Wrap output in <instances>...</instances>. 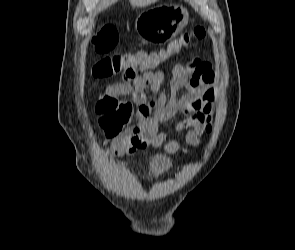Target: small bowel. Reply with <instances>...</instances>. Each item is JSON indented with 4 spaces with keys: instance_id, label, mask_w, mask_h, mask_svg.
Returning <instances> with one entry per match:
<instances>
[{
    "instance_id": "small-bowel-1",
    "label": "small bowel",
    "mask_w": 295,
    "mask_h": 250,
    "mask_svg": "<svg viewBox=\"0 0 295 250\" xmlns=\"http://www.w3.org/2000/svg\"><path fill=\"white\" fill-rule=\"evenodd\" d=\"M163 52L164 49L129 54L136 60L142 57L151 60L126 70L121 82L110 84L99 96L98 102L105 97L131 96L138 105L134 125L111 143V150L116 155H132L149 146L163 147L168 153L184 152L175 139L159 129L161 123L178 114H183L184 119L174 130L186 131L187 145L198 147L202 135L212 131L215 73L211 65L200 58L176 64L172 71L170 95L166 97L161 90L165 73L157 67L174 54ZM147 90L154 97L152 100L147 99ZM180 90H185L181 96L178 94Z\"/></svg>"
}]
</instances>
